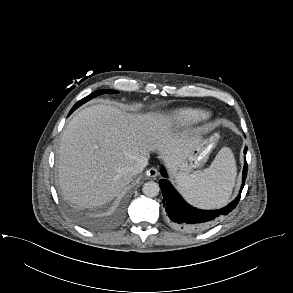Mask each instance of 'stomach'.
<instances>
[{
  "label": "stomach",
  "mask_w": 293,
  "mask_h": 293,
  "mask_svg": "<svg viewBox=\"0 0 293 293\" xmlns=\"http://www.w3.org/2000/svg\"><path fill=\"white\" fill-rule=\"evenodd\" d=\"M216 139L217 136L214 135L208 139L201 140L179 166L177 177L190 175L196 168L202 166L208 160Z\"/></svg>",
  "instance_id": "stomach-1"
}]
</instances>
